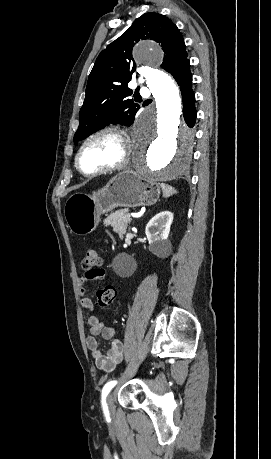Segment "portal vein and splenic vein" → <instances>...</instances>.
<instances>
[{
    "label": "portal vein and splenic vein",
    "instance_id": "1",
    "mask_svg": "<svg viewBox=\"0 0 271 459\" xmlns=\"http://www.w3.org/2000/svg\"><path fill=\"white\" fill-rule=\"evenodd\" d=\"M126 217H131L130 212H127V213H126Z\"/></svg>",
    "mask_w": 271,
    "mask_h": 459
}]
</instances>
